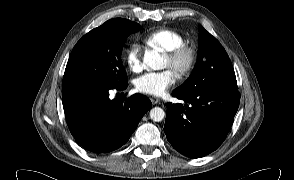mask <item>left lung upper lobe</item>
I'll return each mask as SVG.
<instances>
[{"label": "left lung upper lobe", "instance_id": "5c2ea615", "mask_svg": "<svg viewBox=\"0 0 294 180\" xmlns=\"http://www.w3.org/2000/svg\"><path fill=\"white\" fill-rule=\"evenodd\" d=\"M198 61L190 77L176 90L183 93L224 89L238 91L231 60L220 42L199 28Z\"/></svg>", "mask_w": 294, "mask_h": 180}]
</instances>
